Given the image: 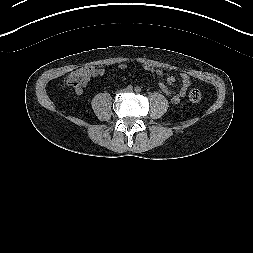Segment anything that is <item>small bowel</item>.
<instances>
[{
  "instance_id": "small-bowel-1",
  "label": "small bowel",
  "mask_w": 253,
  "mask_h": 253,
  "mask_svg": "<svg viewBox=\"0 0 253 253\" xmlns=\"http://www.w3.org/2000/svg\"><path fill=\"white\" fill-rule=\"evenodd\" d=\"M125 65L122 64L120 65V67H124ZM96 75H103L104 71L102 69H95L94 70ZM180 79H181V88L179 89L178 92H174L172 89H169L165 86H162V88L164 89V91L169 94L172 98L173 102H178L180 100V97H183L186 95L188 88L191 86V78L188 74L186 73H181L180 74ZM176 82V79L174 77H170L169 78V85L173 86ZM83 89L77 90L76 92L78 94L82 93Z\"/></svg>"
}]
</instances>
